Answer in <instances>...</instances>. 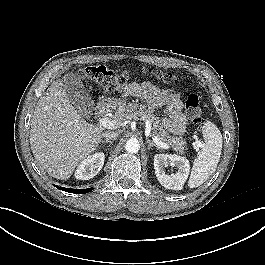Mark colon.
Returning a JSON list of instances; mask_svg holds the SVG:
<instances>
[{"label": "colon", "instance_id": "1", "mask_svg": "<svg viewBox=\"0 0 265 265\" xmlns=\"http://www.w3.org/2000/svg\"><path fill=\"white\" fill-rule=\"evenodd\" d=\"M138 74L153 78L164 85L172 86L178 81V77L170 72H163L152 68H142ZM81 79L102 87L109 93L123 91L132 77L130 71L115 72L104 65H88L79 70ZM186 114L192 124L202 121L203 106L196 94H190L186 100Z\"/></svg>", "mask_w": 265, "mask_h": 265}]
</instances>
